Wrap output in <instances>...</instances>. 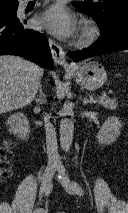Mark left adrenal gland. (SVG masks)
Returning <instances> with one entry per match:
<instances>
[{
    "label": "left adrenal gland",
    "mask_w": 128,
    "mask_h": 213,
    "mask_svg": "<svg viewBox=\"0 0 128 213\" xmlns=\"http://www.w3.org/2000/svg\"><path fill=\"white\" fill-rule=\"evenodd\" d=\"M80 99L82 100V103L85 104H91L92 100H88L87 98L82 99V97H80Z\"/></svg>",
    "instance_id": "1"
}]
</instances>
